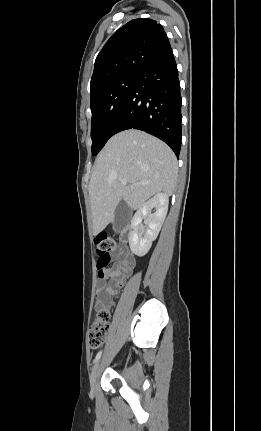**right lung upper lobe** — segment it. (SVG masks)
Masks as SVG:
<instances>
[{"mask_svg":"<svg viewBox=\"0 0 261 431\" xmlns=\"http://www.w3.org/2000/svg\"><path fill=\"white\" fill-rule=\"evenodd\" d=\"M168 48V37L155 20H131L110 37L98 54L90 92L121 76L138 74Z\"/></svg>","mask_w":261,"mask_h":431,"instance_id":"cb5924a9","label":"right lung upper lobe"}]
</instances>
